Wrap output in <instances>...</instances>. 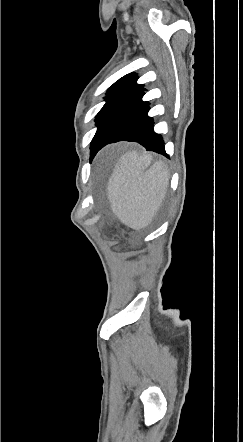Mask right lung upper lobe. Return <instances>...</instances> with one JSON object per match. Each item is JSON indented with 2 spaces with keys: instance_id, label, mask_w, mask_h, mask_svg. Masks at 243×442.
Wrapping results in <instances>:
<instances>
[{
  "instance_id": "right-lung-upper-lobe-1",
  "label": "right lung upper lobe",
  "mask_w": 243,
  "mask_h": 442,
  "mask_svg": "<svg viewBox=\"0 0 243 442\" xmlns=\"http://www.w3.org/2000/svg\"><path fill=\"white\" fill-rule=\"evenodd\" d=\"M138 77L135 74H128L116 81L108 90L106 97L125 98L132 93L142 89L143 85L137 84Z\"/></svg>"
}]
</instances>
